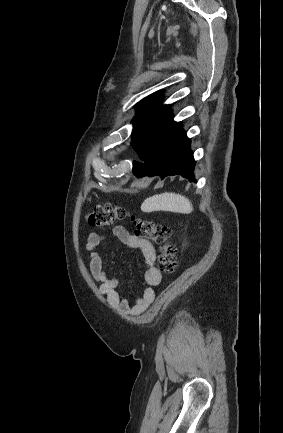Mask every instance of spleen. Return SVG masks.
Instances as JSON below:
<instances>
[{
	"instance_id": "3e777b00",
	"label": "spleen",
	"mask_w": 283,
	"mask_h": 433,
	"mask_svg": "<svg viewBox=\"0 0 283 433\" xmlns=\"http://www.w3.org/2000/svg\"><path fill=\"white\" fill-rule=\"evenodd\" d=\"M143 212H153V210H171V212H192L193 206L186 196L175 194V192H162L146 198L141 204Z\"/></svg>"
}]
</instances>
